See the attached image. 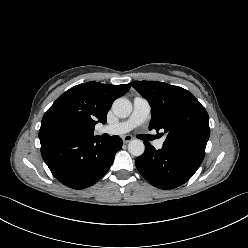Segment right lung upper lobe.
Masks as SVG:
<instances>
[{
    "label": "right lung upper lobe",
    "mask_w": 248,
    "mask_h": 248,
    "mask_svg": "<svg viewBox=\"0 0 248 248\" xmlns=\"http://www.w3.org/2000/svg\"><path fill=\"white\" fill-rule=\"evenodd\" d=\"M130 87V84L109 85L99 82L76 85L64 92L46 111L40 130L53 120L65 119L75 124L79 136H92L98 122L106 123L113 101L128 92Z\"/></svg>",
    "instance_id": "obj_1"
}]
</instances>
